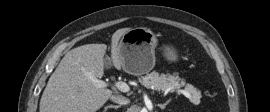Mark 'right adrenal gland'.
Returning <instances> with one entry per match:
<instances>
[{
  "label": "right adrenal gland",
  "instance_id": "obj_1",
  "mask_svg": "<svg viewBox=\"0 0 270 112\" xmlns=\"http://www.w3.org/2000/svg\"><path fill=\"white\" fill-rule=\"evenodd\" d=\"M119 107H120L119 105H109V106H106V107H105L104 112H106V110L109 109V108L118 109Z\"/></svg>",
  "mask_w": 270,
  "mask_h": 112
}]
</instances>
